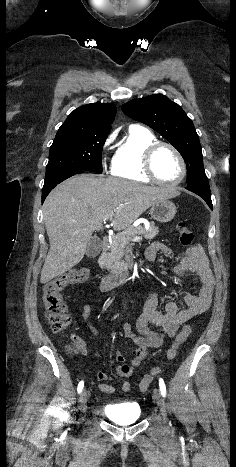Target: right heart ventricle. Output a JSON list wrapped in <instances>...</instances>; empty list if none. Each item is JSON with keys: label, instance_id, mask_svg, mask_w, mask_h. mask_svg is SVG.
I'll return each mask as SVG.
<instances>
[{"label": "right heart ventricle", "instance_id": "obj_1", "mask_svg": "<svg viewBox=\"0 0 236 467\" xmlns=\"http://www.w3.org/2000/svg\"><path fill=\"white\" fill-rule=\"evenodd\" d=\"M156 141H158L156 136L147 128L139 125L130 126L114 155L111 165L112 175L132 181L150 182L151 179L143 168L144 151Z\"/></svg>", "mask_w": 236, "mask_h": 467}]
</instances>
